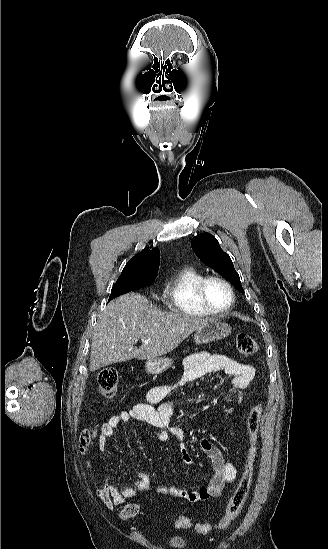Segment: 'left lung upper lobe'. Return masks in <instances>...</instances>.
<instances>
[{
    "instance_id": "left-lung-upper-lobe-1",
    "label": "left lung upper lobe",
    "mask_w": 328,
    "mask_h": 549,
    "mask_svg": "<svg viewBox=\"0 0 328 549\" xmlns=\"http://www.w3.org/2000/svg\"><path fill=\"white\" fill-rule=\"evenodd\" d=\"M191 246L203 263L220 273L240 292H244L230 256L221 249L218 240L212 234L203 233L193 237Z\"/></svg>"
}]
</instances>
